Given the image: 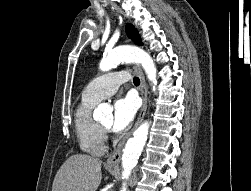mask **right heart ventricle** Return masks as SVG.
Here are the masks:
<instances>
[{"mask_svg": "<svg viewBox=\"0 0 251 191\" xmlns=\"http://www.w3.org/2000/svg\"><path fill=\"white\" fill-rule=\"evenodd\" d=\"M70 91H73L72 88ZM97 101L82 96L74 112V128L79 149L92 156H102L107 151L105 131L91 116V109Z\"/></svg>", "mask_w": 251, "mask_h": 191, "instance_id": "e07e8e85", "label": "right heart ventricle"}]
</instances>
